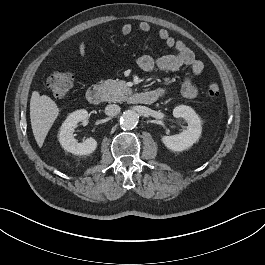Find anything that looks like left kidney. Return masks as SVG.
I'll list each match as a JSON object with an SVG mask.
<instances>
[{
    "instance_id": "left-kidney-1",
    "label": "left kidney",
    "mask_w": 265,
    "mask_h": 265,
    "mask_svg": "<svg viewBox=\"0 0 265 265\" xmlns=\"http://www.w3.org/2000/svg\"><path fill=\"white\" fill-rule=\"evenodd\" d=\"M173 116L184 118L187 130L173 136H162L164 145L172 151H183L199 140L202 132L201 120L197 113L189 106L180 105L173 109Z\"/></svg>"
}]
</instances>
